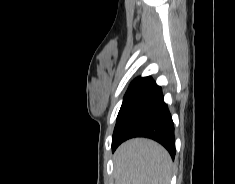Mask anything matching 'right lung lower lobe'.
<instances>
[{
  "label": "right lung lower lobe",
  "mask_w": 235,
  "mask_h": 184,
  "mask_svg": "<svg viewBox=\"0 0 235 184\" xmlns=\"http://www.w3.org/2000/svg\"><path fill=\"white\" fill-rule=\"evenodd\" d=\"M133 137L159 142L174 158V123L161 88L150 77L127 90L114 128L112 151Z\"/></svg>",
  "instance_id": "98d812e1"
}]
</instances>
